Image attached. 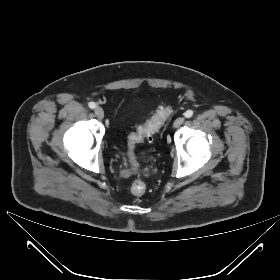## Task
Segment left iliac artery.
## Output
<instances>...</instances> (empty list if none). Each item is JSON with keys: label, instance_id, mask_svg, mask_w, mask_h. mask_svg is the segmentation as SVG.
<instances>
[{"label": "left iliac artery", "instance_id": "left-iliac-artery-1", "mask_svg": "<svg viewBox=\"0 0 280 280\" xmlns=\"http://www.w3.org/2000/svg\"><path fill=\"white\" fill-rule=\"evenodd\" d=\"M193 111L192 110H187L185 113H184V116L186 117V118H190V117H192L193 116Z\"/></svg>", "mask_w": 280, "mask_h": 280}]
</instances>
